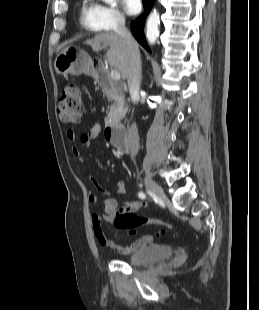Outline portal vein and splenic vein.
<instances>
[{
	"instance_id": "18ae733b",
	"label": "portal vein and splenic vein",
	"mask_w": 259,
	"mask_h": 310,
	"mask_svg": "<svg viewBox=\"0 0 259 310\" xmlns=\"http://www.w3.org/2000/svg\"><path fill=\"white\" fill-rule=\"evenodd\" d=\"M111 78L115 81H119L121 79V74L118 70H111Z\"/></svg>"
}]
</instances>
